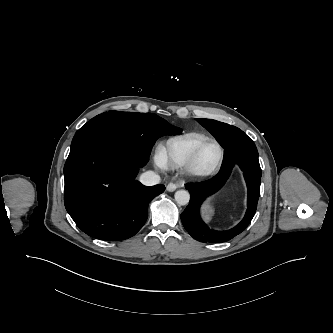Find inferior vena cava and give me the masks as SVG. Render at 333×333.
<instances>
[{"label":"inferior vena cava","mask_w":333,"mask_h":333,"mask_svg":"<svg viewBox=\"0 0 333 333\" xmlns=\"http://www.w3.org/2000/svg\"><path fill=\"white\" fill-rule=\"evenodd\" d=\"M139 180L143 185L153 186L160 183V176L154 171L149 170L141 174Z\"/></svg>","instance_id":"1"}]
</instances>
